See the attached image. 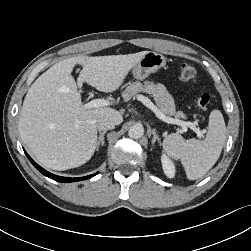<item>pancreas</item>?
<instances>
[{
  "instance_id": "pancreas-1",
  "label": "pancreas",
  "mask_w": 251,
  "mask_h": 251,
  "mask_svg": "<svg viewBox=\"0 0 251 251\" xmlns=\"http://www.w3.org/2000/svg\"><path fill=\"white\" fill-rule=\"evenodd\" d=\"M140 92L151 95L161 112L165 115L175 116L176 118H185L183 112H176L174 99L163 85H156L150 81H145L144 84H142L141 82L136 81L127 86L122 96L125 101H128L135 98Z\"/></svg>"
}]
</instances>
